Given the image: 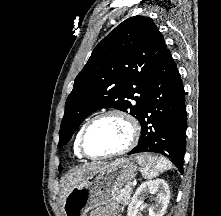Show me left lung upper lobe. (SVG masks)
<instances>
[{
	"label": "left lung upper lobe",
	"mask_w": 221,
	"mask_h": 216,
	"mask_svg": "<svg viewBox=\"0 0 221 216\" xmlns=\"http://www.w3.org/2000/svg\"><path fill=\"white\" fill-rule=\"evenodd\" d=\"M166 50L151 18L133 16L118 25L95 47L74 81L65 104L58 147L65 145L80 123L99 109L129 111L139 120L151 76Z\"/></svg>",
	"instance_id": "obj_1"
}]
</instances>
